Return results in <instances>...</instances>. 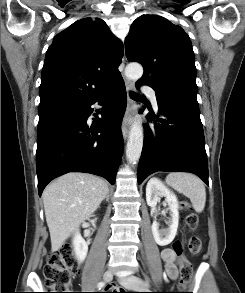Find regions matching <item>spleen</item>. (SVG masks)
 <instances>
[{"label": "spleen", "mask_w": 245, "mask_h": 293, "mask_svg": "<svg viewBox=\"0 0 245 293\" xmlns=\"http://www.w3.org/2000/svg\"><path fill=\"white\" fill-rule=\"evenodd\" d=\"M166 183L188 197L197 213H201L204 210L206 190L200 178L190 173L173 172L166 177Z\"/></svg>", "instance_id": "spleen-1"}]
</instances>
